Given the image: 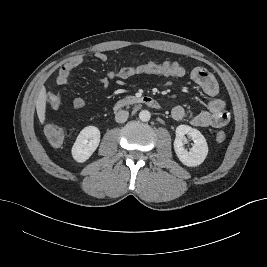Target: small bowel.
I'll use <instances>...</instances> for the list:
<instances>
[{
    "mask_svg": "<svg viewBox=\"0 0 267 267\" xmlns=\"http://www.w3.org/2000/svg\"><path fill=\"white\" fill-rule=\"evenodd\" d=\"M97 59L102 62L107 61V56L103 52L96 54ZM83 63L82 56H75L66 64H64L58 71L56 83L59 87H66L69 85L71 74ZM118 71H108L100 82L104 89H107L113 79L119 78ZM190 77L202 91L212 99L208 102L206 109L191 114L187 109L182 106H176L172 109V117L175 120H187L191 125L196 127L219 128L229 122V113L225 110V102L217 98L219 86L215 77L205 68L195 67ZM46 103L52 108H58L61 104V94L48 93L46 96ZM87 105V100L82 97H77L72 101L74 109H82Z\"/></svg>",
    "mask_w": 267,
    "mask_h": 267,
    "instance_id": "1",
    "label": "small bowel"
}]
</instances>
